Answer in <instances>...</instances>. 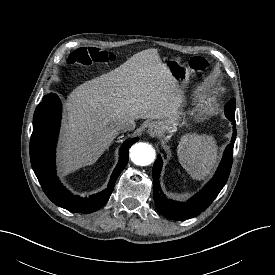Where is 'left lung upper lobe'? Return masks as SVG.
<instances>
[{"label": "left lung upper lobe", "instance_id": "left-lung-upper-lobe-1", "mask_svg": "<svg viewBox=\"0 0 275 275\" xmlns=\"http://www.w3.org/2000/svg\"><path fill=\"white\" fill-rule=\"evenodd\" d=\"M236 101L231 99L224 107L225 115L230 120H235Z\"/></svg>", "mask_w": 275, "mask_h": 275}]
</instances>
